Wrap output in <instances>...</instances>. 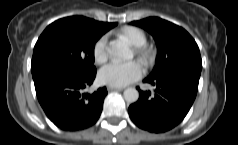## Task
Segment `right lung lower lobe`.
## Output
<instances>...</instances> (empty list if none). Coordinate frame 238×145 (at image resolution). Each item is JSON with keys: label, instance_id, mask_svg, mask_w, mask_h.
Instances as JSON below:
<instances>
[{"label": "right lung lower lobe", "instance_id": "1", "mask_svg": "<svg viewBox=\"0 0 238 145\" xmlns=\"http://www.w3.org/2000/svg\"><path fill=\"white\" fill-rule=\"evenodd\" d=\"M38 101L46 116L60 129L78 131L92 126L100 117L105 87L84 93L96 75L59 62L31 65Z\"/></svg>", "mask_w": 238, "mask_h": 145}]
</instances>
